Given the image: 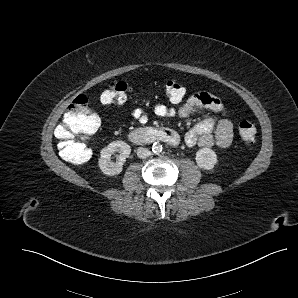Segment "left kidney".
<instances>
[{
  "label": "left kidney",
  "mask_w": 298,
  "mask_h": 298,
  "mask_svg": "<svg viewBox=\"0 0 298 298\" xmlns=\"http://www.w3.org/2000/svg\"><path fill=\"white\" fill-rule=\"evenodd\" d=\"M196 163L199 168L211 170L217 163V155L210 148H202L196 152Z\"/></svg>",
  "instance_id": "5707ae66"
}]
</instances>
